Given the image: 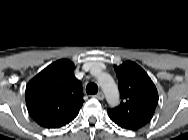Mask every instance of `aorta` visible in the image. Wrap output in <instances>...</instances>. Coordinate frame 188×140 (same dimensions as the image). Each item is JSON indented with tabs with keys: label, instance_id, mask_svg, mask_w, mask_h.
Wrapping results in <instances>:
<instances>
[{
	"label": "aorta",
	"instance_id": "762f6f07",
	"mask_svg": "<svg viewBox=\"0 0 188 140\" xmlns=\"http://www.w3.org/2000/svg\"><path fill=\"white\" fill-rule=\"evenodd\" d=\"M98 83L105 94L107 102L111 106H115L119 101V90L113 78L109 74L103 73L98 78Z\"/></svg>",
	"mask_w": 188,
	"mask_h": 140
}]
</instances>
